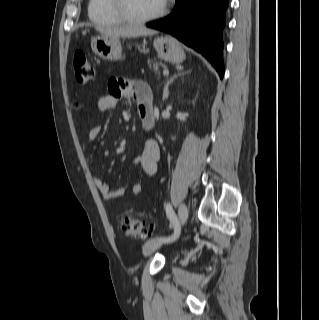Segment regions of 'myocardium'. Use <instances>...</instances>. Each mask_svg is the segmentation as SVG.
<instances>
[{
    "instance_id": "1",
    "label": "myocardium",
    "mask_w": 319,
    "mask_h": 320,
    "mask_svg": "<svg viewBox=\"0 0 319 320\" xmlns=\"http://www.w3.org/2000/svg\"><path fill=\"white\" fill-rule=\"evenodd\" d=\"M109 7L118 18L129 24H143L151 22L161 18L166 12V5L163 4L155 13L149 16L138 17L129 11L127 7V0H109Z\"/></svg>"
}]
</instances>
